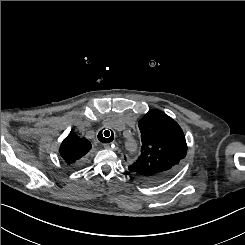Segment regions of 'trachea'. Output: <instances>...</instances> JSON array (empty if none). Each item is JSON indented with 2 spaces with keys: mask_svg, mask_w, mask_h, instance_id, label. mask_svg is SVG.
Returning a JSON list of instances; mask_svg holds the SVG:
<instances>
[{
  "mask_svg": "<svg viewBox=\"0 0 245 245\" xmlns=\"http://www.w3.org/2000/svg\"><path fill=\"white\" fill-rule=\"evenodd\" d=\"M114 139V134L112 130H104L98 133V140L103 143H110Z\"/></svg>",
  "mask_w": 245,
  "mask_h": 245,
  "instance_id": "3493384b",
  "label": "trachea"
}]
</instances>
